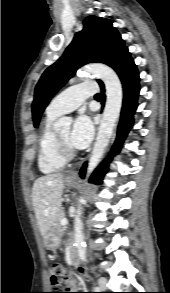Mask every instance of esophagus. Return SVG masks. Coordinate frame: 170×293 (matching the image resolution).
<instances>
[{"instance_id": "obj_1", "label": "esophagus", "mask_w": 170, "mask_h": 293, "mask_svg": "<svg viewBox=\"0 0 170 293\" xmlns=\"http://www.w3.org/2000/svg\"><path fill=\"white\" fill-rule=\"evenodd\" d=\"M71 175H76V173L73 171V172H71Z\"/></svg>"}]
</instances>
